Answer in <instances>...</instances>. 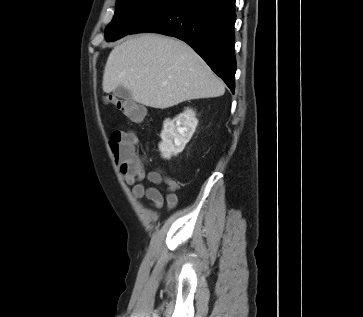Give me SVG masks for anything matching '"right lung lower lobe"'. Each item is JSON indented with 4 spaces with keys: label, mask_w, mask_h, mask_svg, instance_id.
Masks as SVG:
<instances>
[{
    "label": "right lung lower lobe",
    "mask_w": 363,
    "mask_h": 317,
    "mask_svg": "<svg viewBox=\"0 0 363 317\" xmlns=\"http://www.w3.org/2000/svg\"><path fill=\"white\" fill-rule=\"evenodd\" d=\"M235 20V0H177L130 34L154 32L183 40L234 92Z\"/></svg>",
    "instance_id": "98d812e1"
}]
</instances>
